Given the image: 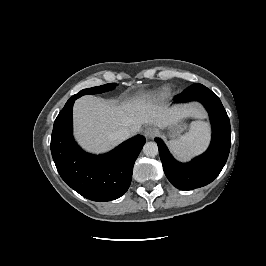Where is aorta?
I'll use <instances>...</instances> for the list:
<instances>
[{"mask_svg":"<svg viewBox=\"0 0 266 266\" xmlns=\"http://www.w3.org/2000/svg\"><path fill=\"white\" fill-rule=\"evenodd\" d=\"M143 153L148 157H155L158 154V146L155 142H146L143 146Z\"/></svg>","mask_w":266,"mask_h":266,"instance_id":"762f6f07","label":"aorta"}]
</instances>
